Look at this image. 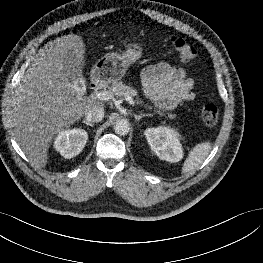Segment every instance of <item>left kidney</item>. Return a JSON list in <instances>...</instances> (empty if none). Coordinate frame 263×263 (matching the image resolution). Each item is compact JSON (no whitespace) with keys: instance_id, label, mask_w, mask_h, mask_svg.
Segmentation results:
<instances>
[{"instance_id":"1","label":"left kidney","mask_w":263,"mask_h":263,"mask_svg":"<svg viewBox=\"0 0 263 263\" xmlns=\"http://www.w3.org/2000/svg\"><path fill=\"white\" fill-rule=\"evenodd\" d=\"M144 134L150 148L160 159L171 163L182 159L183 149L179 141V134L175 129L159 126L146 129Z\"/></svg>"}]
</instances>
